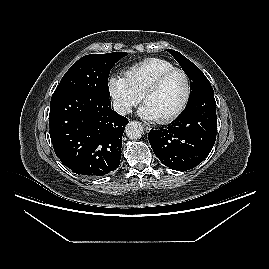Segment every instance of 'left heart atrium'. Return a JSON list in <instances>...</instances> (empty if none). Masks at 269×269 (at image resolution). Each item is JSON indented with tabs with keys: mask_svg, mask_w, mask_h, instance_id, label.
<instances>
[{
	"mask_svg": "<svg viewBox=\"0 0 269 269\" xmlns=\"http://www.w3.org/2000/svg\"><path fill=\"white\" fill-rule=\"evenodd\" d=\"M138 113L144 119H147V120H155L156 119L154 114L152 113V111L150 110V108L146 104H143L139 108Z\"/></svg>",
	"mask_w": 269,
	"mask_h": 269,
	"instance_id": "39dd6f15",
	"label": "left heart atrium"
}]
</instances>
